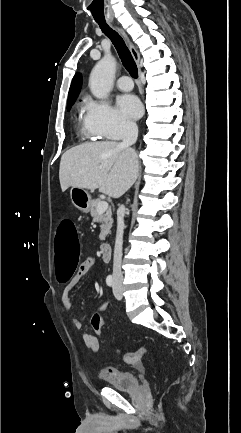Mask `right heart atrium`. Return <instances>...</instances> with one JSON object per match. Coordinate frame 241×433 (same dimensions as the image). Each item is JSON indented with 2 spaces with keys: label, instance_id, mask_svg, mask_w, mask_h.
<instances>
[{
  "label": "right heart atrium",
  "instance_id": "1",
  "mask_svg": "<svg viewBox=\"0 0 241 433\" xmlns=\"http://www.w3.org/2000/svg\"><path fill=\"white\" fill-rule=\"evenodd\" d=\"M84 126L93 137L117 139L132 133L135 125L124 118L109 102L87 99L84 106Z\"/></svg>",
  "mask_w": 241,
  "mask_h": 433
}]
</instances>
